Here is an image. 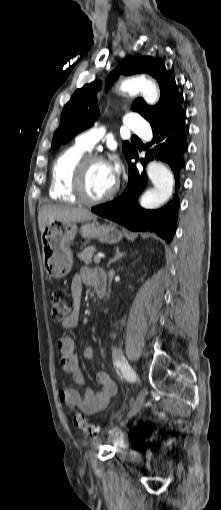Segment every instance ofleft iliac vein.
Segmentation results:
<instances>
[{"instance_id": "4c4485c4", "label": "left iliac vein", "mask_w": 221, "mask_h": 510, "mask_svg": "<svg viewBox=\"0 0 221 510\" xmlns=\"http://www.w3.org/2000/svg\"><path fill=\"white\" fill-rule=\"evenodd\" d=\"M146 392L145 389L142 388L136 398V401L134 402L131 410L129 411L127 417L131 418L135 416L142 408L144 400H145Z\"/></svg>"}]
</instances>
